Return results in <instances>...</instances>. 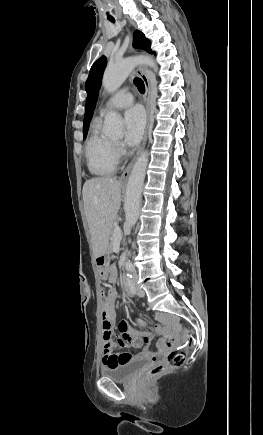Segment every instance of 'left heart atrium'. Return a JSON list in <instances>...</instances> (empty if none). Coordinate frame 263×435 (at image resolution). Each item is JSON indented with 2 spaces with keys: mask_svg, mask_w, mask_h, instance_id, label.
I'll return each instance as SVG.
<instances>
[{
  "mask_svg": "<svg viewBox=\"0 0 263 435\" xmlns=\"http://www.w3.org/2000/svg\"><path fill=\"white\" fill-rule=\"evenodd\" d=\"M145 117L141 108L133 107L125 113V142L128 146H135L142 138Z\"/></svg>",
  "mask_w": 263,
  "mask_h": 435,
  "instance_id": "left-heart-atrium-1",
  "label": "left heart atrium"
}]
</instances>
